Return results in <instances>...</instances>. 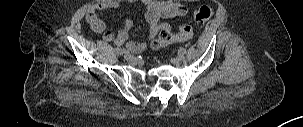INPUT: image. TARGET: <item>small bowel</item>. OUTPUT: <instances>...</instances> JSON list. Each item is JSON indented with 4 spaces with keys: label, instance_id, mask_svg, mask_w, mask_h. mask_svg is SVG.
Returning a JSON list of instances; mask_svg holds the SVG:
<instances>
[{
    "label": "small bowel",
    "instance_id": "obj_1",
    "mask_svg": "<svg viewBox=\"0 0 303 127\" xmlns=\"http://www.w3.org/2000/svg\"><path fill=\"white\" fill-rule=\"evenodd\" d=\"M141 1L145 7V18L149 25V38L152 39L162 30H170V25L162 19L181 17L187 14V7L174 0H99L90 6L86 12V20L91 28L102 34L106 42H113L117 48L125 46L126 49L134 54L143 52L147 48L146 43H139L129 40V32L133 27L131 19H125L120 30L115 34L108 29L104 21L99 17V12L118 8L122 2Z\"/></svg>",
    "mask_w": 303,
    "mask_h": 127
}]
</instances>
